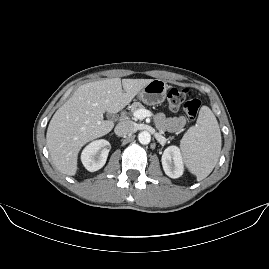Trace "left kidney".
Wrapping results in <instances>:
<instances>
[{"instance_id":"1","label":"left kidney","mask_w":269,"mask_h":269,"mask_svg":"<svg viewBox=\"0 0 269 269\" xmlns=\"http://www.w3.org/2000/svg\"><path fill=\"white\" fill-rule=\"evenodd\" d=\"M162 166L166 175L171 178H180L185 172L181 150L176 145L168 146L162 155Z\"/></svg>"}]
</instances>
